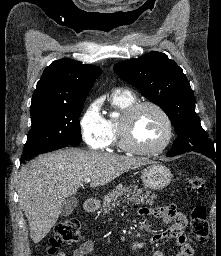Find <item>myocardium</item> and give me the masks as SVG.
<instances>
[{
  "mask_svg": "<svg viewBox=\"0 0 221 256\" xmlns=\"http://www.w3.org/2000/svg\"><path fill=\"white\" fill-rule=\"evenodd\" d=\"M146 107L157 111L164 120L166 127L163 140L157 146L152 148L138 146L131 137V129L134 118L140 110ZM173 133L174 127L172 119L161 105L153 101H140L129 106L123 113L118 128V142L120 147L127 152L137 155L153 156L163 152L168 147L173 138Z\"/></svg>",
  "mask_w": 221,
  "mask_h": 256,
  "instance_id": "myocardium-1",
  "label": "myocardium"
}]
</instances>
